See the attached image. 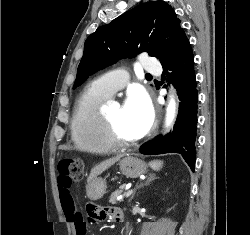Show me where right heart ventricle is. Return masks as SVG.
<instances>
[{
  "instance_id": "1",
  "label": "right heart ventricle",
  "mask_w": 250,
  "mask_h": 235,
  "mask_svg": "<svg viewBox=\"0 0 250 235\" xmlns=\"http://www.w3.org/2000/svg\"><path fill=\"white\" fill-rule=\"evenodd\" d=\"M109 98L91 85L78 99L71 121V136L81 152L105 154L114 150L102 115V106Z\"/></svg>"
}]
</instances>
